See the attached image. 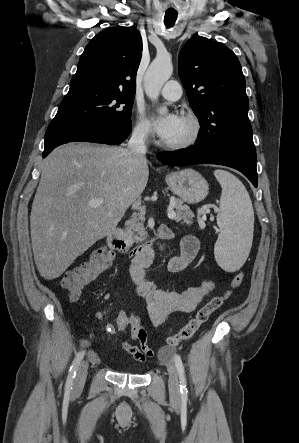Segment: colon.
<instances>
[{
	"label": "colon",
	"mask_w": 299,
	"mask_h": 443,
	"mask_svg": "<svg viewBox=\"0 0 299 443\" xmlns=\"http://www.w3.org/2000/svg\"><path fill=\"white\" fill-rule=\"evenodd\" d=\"M113 260L114 252L110 247L104 246L96 249L88 262L82 263L64 274L61 280L62 288L68 293L71 299H78L85 287L104 273L111 266ZM244 280L245 274L243 272H237L233 276L226 291L213 296L182 328L167 338V348L163 350L162 354L166 352L169 353L170 350L180 342L191 338L199 327L209 319L214 311L221 307L223 302L232 294L233 290L238 288ZM113 325L118 333L129 332L132 341L136 343H139L145 337L144 324L138 314L133 310H120L115 317Z\"/></svg>",
	"instance_id": "obj_1"
}]
</instances>
